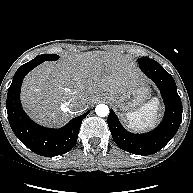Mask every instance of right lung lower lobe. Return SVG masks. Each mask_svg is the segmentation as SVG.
I'll list each match as a JSON object with an SVG mask.
<instances>
[{"label": "right lung lower lobe", "mask_w": 193, "mask_h": 193, "mask_svg": "<svg viewBox=\"0 0 193 193\" xmlns=\"http://www.w3.org/2000/svg\"><path fill=\"white\" fill-rule=\"evenodd\" d=\"M39 64L30 61L16 71L7 93L8 120L16 137L30 150L41 156H57L74 147L81 122L88 112L72 119L61 129H50L34 123L22 109L20 89L25 75Z\"/></svg>", "instance_id": "obj_1"}]
</instances>
